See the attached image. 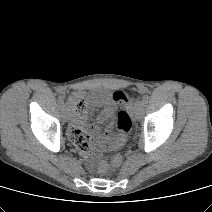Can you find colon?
I'll list each match as a JSON object with an SVG mask.
<instances>
[{
	"mask_svg": "<svg viewBox=\"0 0 212 212\" xmlns=\"http://www.w3.org/2000/svg\"><path fill=\"white\" fill-rule=\"evenodd\" d=\"M113 99L116 102L123 103L125 105L130 104V97L129 95L124 91H115L113 94ZM70 108L74 113H83L86 110V103L83 99L74 97L71 98L69 102ZM133 125V120L131 117V114L126 111L122 110L119 112L117 116V129L119 131L118 139L120 142V145L125 141L126 135L131 131ZM75 144L83 149L84 146L75 142ZM122 156L119 153H116L111 157L110 163H101L98 167V172L100 174H105L109 171L110 167H118L122 163Z\"/></svg>",
	"mask_w": 212,
	"mask_h": 212,
	"instance_id": "5ec220e1",
	"label": "colon"
}]
</instances>
